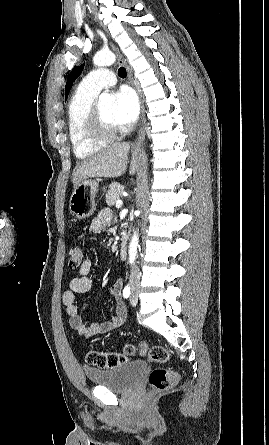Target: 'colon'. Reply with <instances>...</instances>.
I'll list each match as a JSON object with an SVG mask.
<instances>
[{
  "mask_svg": "<svg viewBox=\"0 0 269 445\" xmlns=\"http://www.w3.org/2000/svg\"><path fill=\"white\" fill-rule=\"evenodd\" d=\"M83 262V251L78 246H73L69 250V266L72 269H77ZM139 354L147 355L148 358L155 363H166L170 354L163 346L155 345L148 348L147 344L142 342L137 347L134 345H127L123 353L118 352H98L90 350L86 354V361L88 364L100 368H115L127 363L130 356ZM149 386L153 392H162L178 381L176 372L167 368H155L149 375Z\"/></svg>",
  "mask_w": 269,
  "mask_h": 445,
  "instance_id": "colon-1",
  "label": "colon"
}]
</instances>
